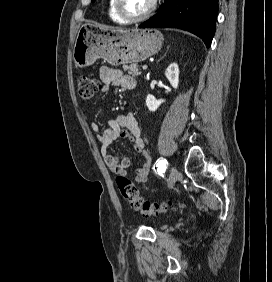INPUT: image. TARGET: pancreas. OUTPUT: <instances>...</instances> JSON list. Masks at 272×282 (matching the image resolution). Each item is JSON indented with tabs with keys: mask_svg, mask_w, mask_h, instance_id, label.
<instances>
[{
	"mask_svg": "<svg viewBox=\"0 0 272 282\" xmlns=\"http://www.w3.org/2000/svg\"><path fill=\"white\" fill-rule=\"evenodd\" d=\"M123 70L127 71L129 75H131L132 77H137L140 75V69L138 67V65L136 64H132V65H124L123 66Z\"/></svg>",
	"mask_w": 272,
	"mask_h": 282,
	"instance_id": "cf45deb5",
	"label": "pancreas"
}]
</instances>
